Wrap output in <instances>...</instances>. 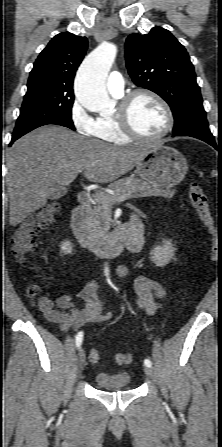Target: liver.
Instances as JSON below:
<instances>
[{
	"instance_id": "1",
	"label": "liver",
	"mask_w": 222,
	"mask_h": 447,
	"mask_svg": "<svg viewBox=\"0 0 222 447\" xmlns=\"http://www.w3.org/2000/svg\"><path fill=\"white\" fill-rule=\"evenodd\" d=\"M152 146L111 145L53 125L28 133L7 153L10 225L44 207L54 185H69L82 170L91 182L114 181L131 171Z\"/></svg>"
}]
</instances>
